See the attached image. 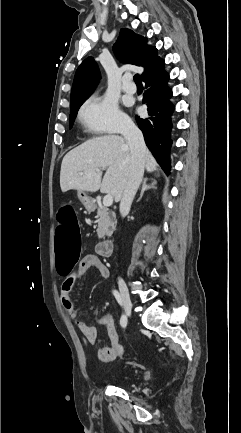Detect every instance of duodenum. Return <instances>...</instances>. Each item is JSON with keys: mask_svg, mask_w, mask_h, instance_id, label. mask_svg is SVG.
<instances>
[{"mask_svg": "<svg viewBox=\"0 0 241 433\" xmlns=\"http://www.w3.org/2000/svg\"><path fill=\"white\" fill-rule=\"evenodd\" d=\"M112 250H113V242L110 239H106L104 241H101L97 245V251L103 257H110L112 254Z\"/></svg>", "mask_w": 241, "mask_h": 433, "instance_id": "410a0bca", "label": "duodenum"}]
</instances>
